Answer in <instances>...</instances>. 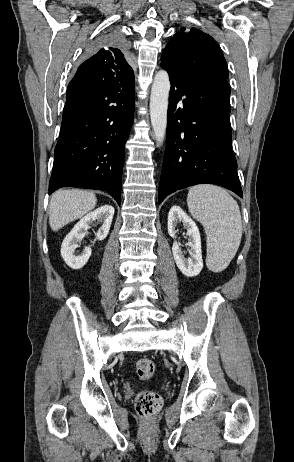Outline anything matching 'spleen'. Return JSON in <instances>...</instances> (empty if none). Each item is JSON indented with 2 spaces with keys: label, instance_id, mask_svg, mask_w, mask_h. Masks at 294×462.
Masks as SVG:
<instances>
[{
  "label": "spleen",
  "instance_id": "spleen-1",
  "mask_svg": "<svg viewBox=\"0 0 294 462\" xmlns=\"http://www.w3.org/2000/svg\"><path fill=\"white\" fill-rule=\"evenodd\" d=\"M191 215L207 235L206 264L213 272L224 270L235 256L242 237L240 209L233 197L214 185H196L187 196Z\"/></svg>",
  "mask_w": 294,
  "mask_h": 462
}]
</instances>
